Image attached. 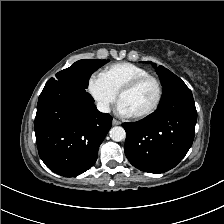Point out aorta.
Segmentation results:
<instances>
[{"label": "aorta", "mask_w": 224, "mask_h": 224, "mask_svg": "<svg viewBox=\"0 0 224 224\" xmlns=\"http://www.w3.org/2000/svg\"><path fill=\"white\" fill-rule=\"evenodd\" d=\"M110 137L113 141L120 142L126 138V132L124 128L115 126L110 129Z\"/></svg>", "instance_id": "762f6f07"}]
</instances>
